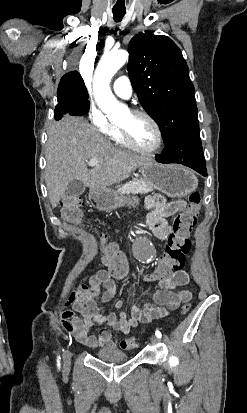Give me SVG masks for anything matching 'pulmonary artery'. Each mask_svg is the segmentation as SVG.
<instances>
[{
    "label": "pulmonary artery",
    "instance_id": "1",
    "mask_svg": "<svg viewBox=\"0 0 247 413\" xmlns=\"http://www.w3.org/2000/svg\"><path fill=\"white\" fill-rule=\"evenodd\" d=\"M114 93L124 99L131 97L133 86L130 78L127 75L117 77L112 83Z\"/></svg>",
    "mask_w": 247,
    "mask_h": 413
}]
</instances>
